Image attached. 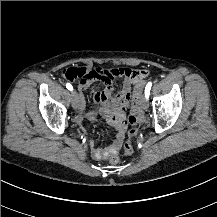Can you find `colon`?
I'll use <instances>...</instances> for the list:
<instances>
[{"mask_svg":"<svg viewBox=\"0 0 217 217\" xmlns=\"http://www.w3.org/2000/svg\"><path fill=\"white\" fill-rule=\"evenodd\" d=\"M102 72V69H97L94 71V75L92 76H87V70L85 67H78V68H69L67 70H64L62 72L64 78L68 81L71 82H76L81 80L82 83H86L90 81L92 78H94L96 75L100 74ZM111 73L115 76H125V77H131L135 74H148L147 71L141 70V69H136V68H128V67H116L111 70ZM146 85V81L142 80L136 83L134 87L131 88L132 91V104H131V116L129 118V122L131 123V127L129 129V136L134 137L137 133V128H138V121L137 116H138V105H139V92L138 91H143L144 86ZM124 153L128 155H132L134 153V150L132 149V146L129 143H126L124 145ZM111 162L114 165H117L120 162V159L117 156H114L111 159Z\"/></svg>","mask_w":217,"mask_h":217,"instance_id":"obj_1","label":"colon"}]
</instances>
